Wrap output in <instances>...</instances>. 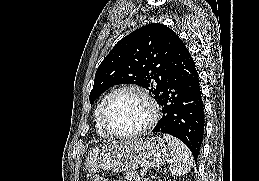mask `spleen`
Masks as SVG:
<instances>
[{
    "label": "spleen",
    "instance_id": "spleen-1",
    "mask_svg": "<svg viewBox=\"0 0 259 181\" xmlns=\"http://www.w3.org/2000/svg\"><path fill=\"white\" fill-rule=\"evenodd\" d=\"M171 155L169 170L173 176L186 175L193 166V157L188 147L179 139L164 134Z\"/></svg>",
    "mask_w": 259,
    "mask_h": 181
}]
</instances>
